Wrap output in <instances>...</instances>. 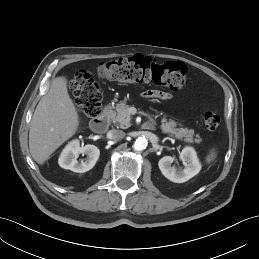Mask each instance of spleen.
I'll list each match as a JSON object with an SVG mask.
<instances>
[{
  "label": "spleen",
  "mask_w": 259,
  "mask_h": 259,
  "mask_svg": "<svg viewBox=\"0 0 259 259\" xmlns=\"http://www.w3.org/2000/svg\"><path fill=\"white\" fill-rule=\"evenodd\" d=\"M215 158H216V152H215V150H211L210 154L206 158V161L210 163Z\"/></svg>",
  "instance_id": "3e777b00"
}]
</instances>
